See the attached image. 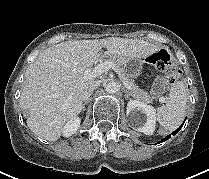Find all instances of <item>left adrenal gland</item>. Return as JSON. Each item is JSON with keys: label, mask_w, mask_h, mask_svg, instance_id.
<instances>
[{"label": "left adrenal gland", "mask_w": 209, "mask_h": 179, "mask_svg": "<svg viewBox=\"0 0 209 179\" xmlns=\"http://www.w3.org/2000/svg\"><path fill=\"white\" fill-rule=\"evenodd\" d=\"M125 96L127 97V99H130V93H129V91H128V90H126V94H125Z\"/></svg>", "instance_id": "1"}]
</instances>
